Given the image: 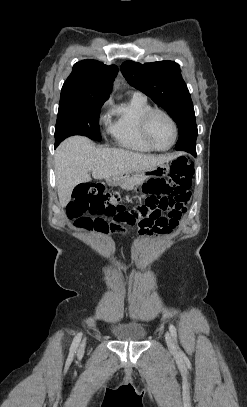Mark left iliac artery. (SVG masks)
Returning a JSON list of instances; mask_svg holds the SVG:
<instances>
[{
    "mask_svg": "<svg viewBox=\"0 0 247 407\" xmlns=\"http://www.w3.org/2000/svg\"><path fill=\"white\" fill-rule=\"evenodd\" d=\"M169 330H170V333H171L172 337L176 340L177 331H176V328H175V326L173 324H170Z\"/></svg>",
    "mask_w": 247,
    "mask_h": 407,
    "instance_id": "1",
    "label": "left iliac artery"
}]
</instances>
